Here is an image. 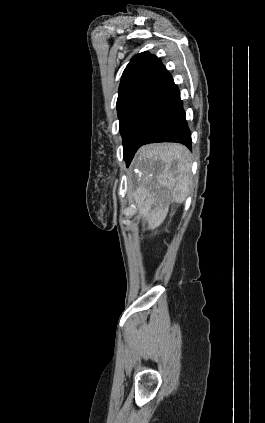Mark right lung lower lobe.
<instances>
[{"label": "right lung lower lobe", "instance_id": "98d812e1", "mask_svg": "<svg viewBox=\"0 0 265 423\" xmlns=\"http://www.w3.org/2000/svg\"><path fill=\"white\" fill-rule=\"evenodd\" d=\"M155 142L192 146L180 92L169 73L147 94L123 136L127 166L140 146Z\"/></svg>", "mask_w": 265, "mask_h": 423}]
</instances>
